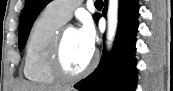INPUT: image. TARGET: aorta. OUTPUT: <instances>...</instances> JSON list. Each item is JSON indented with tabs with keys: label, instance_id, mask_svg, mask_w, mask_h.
<instances>
[{
	"label": "aorta",
	"instance_id": "1",
	"mask_svg": "<svg viewBox=\"0 0 173 91\" xmlns=\"http://www.w3.org/2000/svg\"><path fill=\"white\" fill-rule=\"evenodd\" d=\"M118 0H109L108 7V45L114 40L118 23Z\"/></svg>",
	"mask_w": 173,
	"mask_h": 91
}]
</instances>
